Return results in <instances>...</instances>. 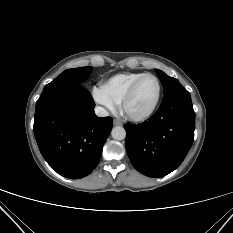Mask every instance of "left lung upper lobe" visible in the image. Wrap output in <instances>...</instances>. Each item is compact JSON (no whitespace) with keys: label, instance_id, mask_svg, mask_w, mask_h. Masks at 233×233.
I'll return each mask as SVG.
<instances>
[{"label":"left lung upper lobe","instance_id":"left-lung-upper-lobe-1","mask_svg":"<svg viewBox=\"0 0 233 233\" xmlns=\"http://www.w3.org/2000/svg\"><path fill=\"white\" fill-rule=\"evenodd\" d=\"M160 81L164 87L163 99L175 96L177 94L188 93V91L173 77L166 75L163 71L155 69Z\"/></svg>","mask_w":233,"mask_h":233}]
</instances>
